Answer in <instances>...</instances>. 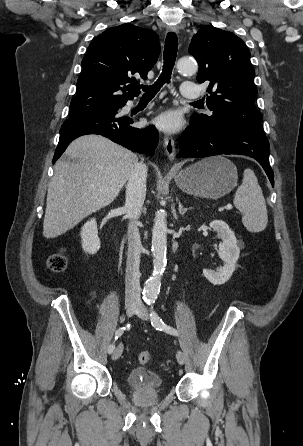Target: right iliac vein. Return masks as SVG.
I'll return each mask as SVG.
<instances>
[{
    "mask_svg": "<svg viewBox=\"0 0 303 446\" xmlns=\"http://www.w3.org/2000/svg\"><path fill=\"white\" fill-rule=\"evenodd\" d=\"M137 307L138 306L135 303H132V302L126 303L125 309H126L127 315L132 316L135 313ZM122 352H123V345L120 344L113 352L112 359L117 360L121 356Z\"/></svg>",
    "mask_w": 303,
    "mask_h": 446,
    "instance_id": "obj_1",
    "label": "right iliac vein"
}]
</instances>
